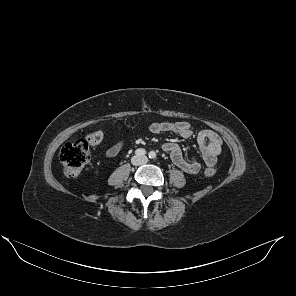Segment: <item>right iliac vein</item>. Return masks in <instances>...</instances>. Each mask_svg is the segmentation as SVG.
<instances>
[{
	"label": "right iliac vein",
	"mask_w": 296,
	"mask_h": 296,
	"mask_svg": "<svg viewBox=\"0 0 296 296\" xmlns=\"http://www.w3.org/2000/svg\"><path fill=\"white\" fill-rule=\"evenodd\" d=\"M132 162L134 165H138L140 160L138 158H134Z\"/></svg>",
	"instance_id": "obj_1"
}]
</instances>
